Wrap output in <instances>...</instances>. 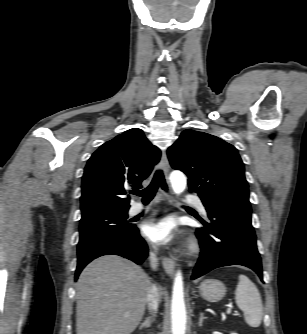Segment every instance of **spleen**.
Segmentation results:
<instances>
[{
  "label": "spleen",
  "instance_id": "obj_1",
  "mask_svg": "<svg viewBox=\"0 0 307 334\" xmlns=\"http://www.w3.org/2000/svg\"><path fill=\"white\" fill-rule=\"evenodd\" d=\"M235 290L238 307L244 312L246 323L251 327H259L263 316V305L256 285L245 275H239Z\"/></svg>",
  "mask_w": 307,
  "mask_h": 334
}]
</instances>
